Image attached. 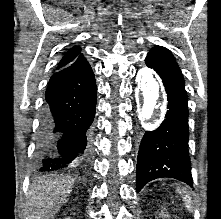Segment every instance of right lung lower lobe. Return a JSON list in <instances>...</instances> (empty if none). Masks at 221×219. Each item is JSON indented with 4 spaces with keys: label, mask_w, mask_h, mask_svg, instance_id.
<instances>
[{
    "label": "right lung lower lobe",
    "mask_w": 221,
    "mask_h": 219,
    "mask_svg": "<svg viewBox=\"0 0 221 219\" xmlns=\"http://www.w3.org/2000/svg\"><path fill=\"white\" fill-rule=\"evenodd\" d=\"M96 94L94 73L84 56L51 76L37 138V171L61 170L89 157Z\"/></svg>",
    "instance_id": "98d812e1"
}]
</instances>
